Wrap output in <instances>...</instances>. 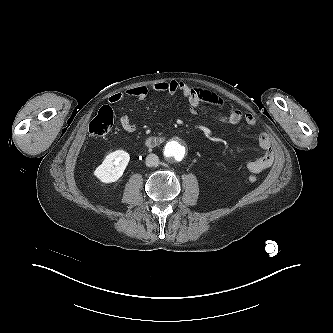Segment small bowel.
<instances>
[{
  "label": "small bowel",
  "mask_w": 333,
  "mask_h": 333,
  "mask_svg": "<svg viewBox=\"0 0 333 333\" xmlns=\"http://www.w3.org/2000/svg\"><path fill=\"white\" fill-rule=\"evenodd\" d=\"M150 92L166 93L169 95L182 94L187 100L189 111L192 114L210 115L215 121L221 124L235 125L245 122L249 126L256 123V118L251 113H243L239 109H233L228 114L214 113L206 105H213L219 108L228 106L225 99L216 93L199 87H190L183 82L167 81L158 82L150 86H139L124 90L111 95L108 101L112 104L124 99L143 100ZM122 128L128 132L136 131V125L125 114L120 117ZM260 148L264 151L263 155L248 162L247 168L253 174H258L270 167L275 159V152L270 137L266 133H261L258 138Z\"/></svg>",
  "instance_id": "small-bowel-1"
}]
</instances>
